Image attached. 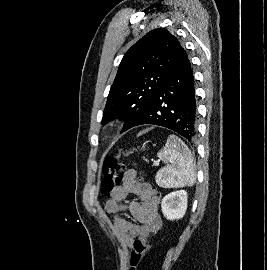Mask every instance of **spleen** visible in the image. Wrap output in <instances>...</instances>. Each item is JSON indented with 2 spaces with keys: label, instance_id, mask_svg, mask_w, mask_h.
Returning <instances> with one entry per match:
<instances>
[{
  "label": "spleen",
  "instance_id": "1",
  "mask_svg": "<svg viewBox=\"0 0 267 270\" xmlns=\"http://www.w3.org/2000/svg\"><path fill=\"white\" fill-rule=\"evenodd\" d=\"M158 157L166 163L156 176V182L166 188L192 186L196 180L191 151L177 136L171 134Z\"/></svg>",
  "mask_w": 267,
  "mask_h": 270
}]
</instances>
